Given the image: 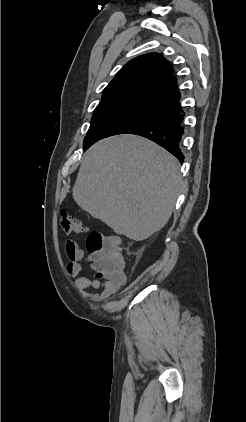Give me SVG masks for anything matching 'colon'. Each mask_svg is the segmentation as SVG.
Segmentation results:
<instances>
[{
	"label": "colon",
	"instance_id": "1",
	"mask_svg": "<svg viewBox=\"0 0 246 422\" xmlns=\"http://www.w3.org/2000/svg\"><path fill=\"white\" fill-rule=\"evenodd\" d=\"M61 225L67 233H88V252L99 256V277L116 278L123 273L121 238L118 235H103L99 231H89L81 221L67 216L65 212L61 213Z\"/></svg>",
	"mask_w": 246,
	"mask_h": 422
}]
</instances>
